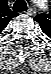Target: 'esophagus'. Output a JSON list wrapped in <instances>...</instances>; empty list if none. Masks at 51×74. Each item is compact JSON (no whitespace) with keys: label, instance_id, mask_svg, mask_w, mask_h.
Here are the masks:
<instances>
[{"label":"esophagus","instance_id":"1","mask_svg":"<svg viewBox=\"0 0 51 74\" xmlns=\"http://www.w3.org/2000/svg\"><path fill=\"white\" fill-rule=\"evenodd\" d=\"M35 12H32L30 9L27 11V14L28 15H32V14H34Z\"/></svg>","mask_w":51,"mask_h":74}]
</instances>
